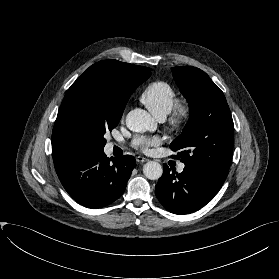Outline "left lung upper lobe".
<instances>
[{"mask_svg":"<svg viewBox=\"0 0 279 279\" xmlns=\"http://www.w3.org/2000/svg\"><path fill=\"white\" fill-rule=\"evenodd\" d=\"M173 77L190 108L182 134L170 148L185 167L225 181L233 153L234 125L223 92L196 67H173ZM176 157V156H172Z\"/></svg>","mask_w":279,"mask_h":279,"instance_id":"left-lung-upper-lobe-1","label":"left lung upper lobe"}]
</instances>
